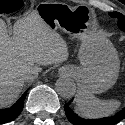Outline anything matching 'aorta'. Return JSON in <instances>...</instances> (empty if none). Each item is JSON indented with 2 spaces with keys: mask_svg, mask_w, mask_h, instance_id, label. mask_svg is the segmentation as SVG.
Returning a JSON list of instances; mask_svg holds the SVG:
<instances>
[{
  "mask_svg": "<svg viewBox=\"0 0 125 125\" xmlns=\"http://www.w3.org/2000/svg\"><path fill=\"white\" fill-rule=\"evenodd\" d=\"M56 90L63 98H72L76 92V85L70 78H60L56 82Z\"/></svg>",
  "mask_w": 125,
  "mask_h": 125,
  "instance_id": "1",
  "label": "aorta"
}]
</instances>
